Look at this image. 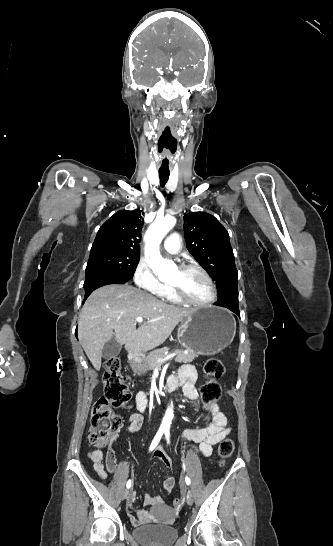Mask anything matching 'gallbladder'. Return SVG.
I'll list each match as a JSON object with an SVG mask.
<instances>
[{"label": "gallbladder", "mask_w": 333, "mask_h": 546, "mask_svg": "<svg viewBox=\"0 0 333 546\" xmlns=\"http://www.w3.org/2000/svg\"><path fill=\"white\" fill-rule=\"evenodd\" d=\"M122 344L111 340L105 344L102 350V357L105 359H111L118 356L121 352Z\"/></svg>", "instance_id": "1"}]
</instances>
